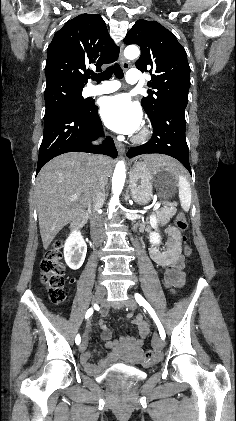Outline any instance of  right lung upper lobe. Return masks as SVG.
Wrapping results in <instances>:
<instances>
[{
    "mask_svg": "<svg viewBox=\"0 0 236 421\" xmlns=\"http://www.w3.org/2000/svg\"><path fill=\"white\" fill-rule=\"evenodd\" d=\"M118 54L101 16L81 14L56 32L48 47L46 86L83 88L89 66L101 71V66L114 62Z\"/></svg>",
    "mask_w": 236,
    "mask_h": 421,
    "instance_id": "cb5924a9",
    "label": "right lung upper lobe"
}]
</instances>
